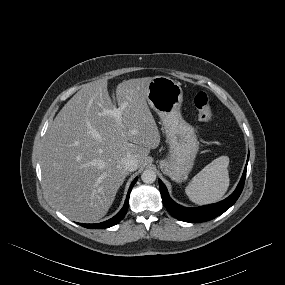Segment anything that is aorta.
I'll return each mask as SVG.
<instances>
[{
	"label": "aorta",
	"instance_id": "obj_1",
	"mask_svg": "<svg viewBox=\"0 0 285 285\" xmlns=\"http://www.w3.org/2000/svg\"><path fill=\"white\" fill-rule=\"evenodd\" d=\"M141 179L146 184H152L156 180V173L153 170L147 169L141 174Z\"/></svg>",
	"mask_w": 285,
	"mask_h": 285
}]
</instances>
